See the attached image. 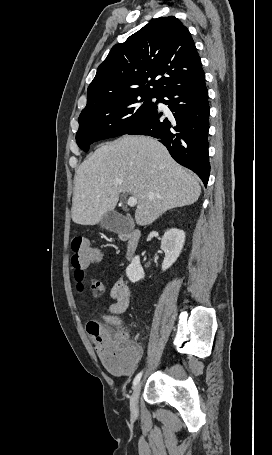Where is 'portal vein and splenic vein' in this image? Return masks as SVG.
<instances>
[{"label":"portal vein and splenic vein","instance_id":"portal-vein-and-splenic-vein-1","mask_svg":"<svg viewBox=\"0 0 272 455\" xmlns=\"http://www.w3.org/2000/svg\"><path fill=\"white\" fill-rule=\"evenodd\" d=\"M127 204L130 207H134L137 204V198L135 196H130L127 200Z\"/></svg>","mask_w":272,"mask_h":455}]
</instances>
